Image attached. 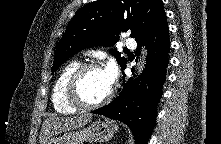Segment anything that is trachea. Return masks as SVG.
I'll return each mask as SVG.
<instances>
[{"mask_svg":"<svg viewBox=\"0 0 221 144\" xmlns=\"http://www.w3.org/2000/svg\"><path fill=\"white\" fill-rule=\"evenodd\" d=\"M124 50H128V48H124Z\"/></svg>","mask_w":221,"mask_h":144,"instance_id":"trachea-1","label":"trachea"}]
</instances>
